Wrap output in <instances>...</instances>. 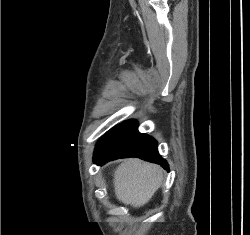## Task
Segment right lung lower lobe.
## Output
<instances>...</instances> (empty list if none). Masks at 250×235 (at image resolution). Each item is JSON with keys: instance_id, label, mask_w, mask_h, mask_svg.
Masks as SVG:
<instances>
[{"instance_id": "obj_1", "label": "right lung lower lobe", "mask_w": 250, "mask_h": 235, "mask_svg": "<svg viewBox=\"0 0 250 235\" xmlns=\"http://www.w3.org/2000/svg\"><path fill=\"white\" fill-rule=\"evenodd\" d=\"M137 126L135 120H129L106 133L96 144L94 163L102 165L114 159L137 157L169 170L167 161L158 153L156 140L139 133Z\"/></svg>"}]
</instances>
